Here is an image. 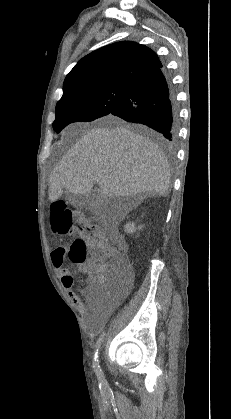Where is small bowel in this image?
I'll return each mask as SVG.
<instances>
[{"mask_svg": "<svg viewBox=\"0 0 231 419\" xmlns=\"http://www.w3.org/2000/svg\"><path fill=\"white\" fill-rule=\"evenodd\" d=\"M58 252V253H54V252ZM64 255H65V249L64 248H58L56 250H54L52 252V262L59 274L60 280H61V284L63 286V288L67 291L69 297L71 298L72 302L74 303V305L80 310L81 313L86 314V307L84 305V303L81 301V299L73 293L72 288L74 285V277L71 274V272L64 267L63 265V261H64ZM56 258H61L62 262L60 264L55 263V259ZM91 281V280H90ZM92 283V281H91ZM90 288L85 289L82 293L84 295H89L90 293ZM127 288H123L120 292V297L119 299L122 298V296L126 293ZM87 327L90 331H95L98 329L99 325L95 320H88L87 321Z\"/></svg>", "mask_w": 231, "mask_h": 419, "instance_id": "1", "label": "small bowel"}]
</instances>
